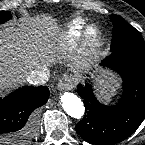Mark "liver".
<instances>
[{"instance_id": "obj_1", "label": "liver", "mask_w": 145, "mask_h": 145, "mask_svg": "<svg viewBox=\"0 0 145 145\" xmlns=\"http://www.w3.org/2000/svg\"><path fill=\"white\" fill-rule=\"evenodd\" d=\"M58 29L54 19L24 18L19 28L0 30V88L13 87L47 62Z\"/></svg>"}]
</instances>
